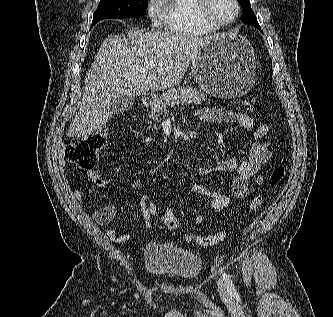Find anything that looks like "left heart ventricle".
I'll return each instance as SVG.
<instances>
[{
    "label": "left heart ventricle",
    "instance_id": "1",
    "mask_svg": "<svg viewBox=\"0 0 333 317\" xmlns=\"http://www.w3.org/2000/svg\"><path fill=\"white\" fill-rule=\"evenodd\" d=\"M208 12L213 19L222 22L232 17L235 6L232 0H209Z\"/></svg>",
    "mask_w": 333,
    "mask_h": 317
}]
</instances>
